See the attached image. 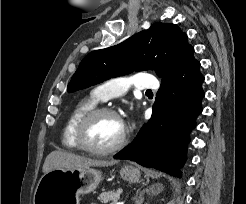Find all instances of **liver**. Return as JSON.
<instances>
[{
	"instance_id": "1",
	"label": "liver",
	"mask_w": 246,
	"mask_h": 204,
	"mask_svg": "<svg viewBox=\"0 0 246 204\" xmlns=\"http://www.w3.org/2000/svg\"><path fill=\"white\" fill-rule=\"evenodd\" d=\"M116 160H98L91 159L89 157H83L75 155L73 153H68L65 151H52L45 159L42 171L47 173L54 169L66 168H81V167H105L117 164Z\"/></svg>"
}]
</instances>
